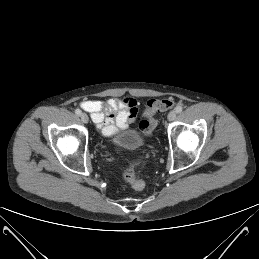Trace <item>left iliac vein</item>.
<instances>
[{"label": "left iliac vein", "mask_w": 259, "mask_h": 259, "mask_svg": "<svg viewBox=\"0 0 259 259\" xmlns=\"http://www.w3.org/2000/svg\"><path fill=\"white\" fill-rule=\"evenodd\" d=\"M176 116H177V112L172 110L168 113L167 118L169 121H174L176 119Z\"/></svg>", "instance_id": "obj_1"}]
</instances>
